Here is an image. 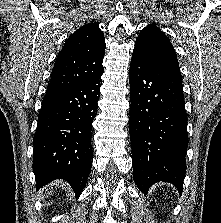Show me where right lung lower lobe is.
Listing matches in <instances>:
<instances>
[{
	"mask_svg": "<svg viewBox=\"0 0 221 223\" xmlns=\"http://www.w3.org/2000/svg\"><path fill=\"white\" fill-rule=\"evenodd\" d=\"M102 73L43 99L33 139L37 189L64 179L76 197L83 191L91 170V122L98 109Z\"/></svg>",
	"mask_w": 221,
	"mask_h": 223,
	"instance_id": "obj_1",
	"label": "right lung lower lobe"
}]
</instances>
